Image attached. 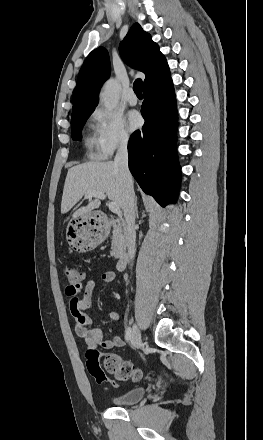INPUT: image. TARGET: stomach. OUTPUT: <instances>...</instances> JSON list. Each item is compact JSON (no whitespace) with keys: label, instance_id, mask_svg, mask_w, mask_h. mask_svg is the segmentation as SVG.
I'll list each match as a JSON object with an SVG mask.
<instances>
[{"label":"stomach","instance_id":"1","mask_svg":"<svg viewBox=\"0 0 263 440\" xmlns=\"http://www.w3.org/2000/svg\"><path fill=\"white\" fill-rule=\"evenodd\" d=\"M69 245L78 252L95 249L106 237L103 227L97 223L94 212L73 217L66 229Z\"/></svg>","mask_w":263,"mask_h":440}]
</instances>
